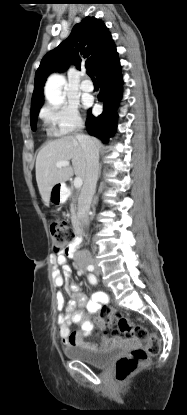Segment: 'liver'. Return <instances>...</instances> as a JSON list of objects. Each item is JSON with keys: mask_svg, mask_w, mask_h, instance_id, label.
Listing matches in <instances>:
<instances>
[{"mask_svg": "<svg viewBox=\"0 0 187 415\" xmlns=\"http://www.w3.org/2000/svg\"><path fill=\"white\" fill-rule=\"evenodd\" d=\"M90 138L99 152L101 142L94 137ZM69 160L72 161V166L56 167L57 162ZM85 173V153L75 135L48 141L36 158V181L44 204L49 205L53 186L67 181L73 174L84 180Z\"/></svg>", "mask_w": 187, "mask_h": 415, "instance_id": "obj_1", "label": "liver"}]
</instances>
